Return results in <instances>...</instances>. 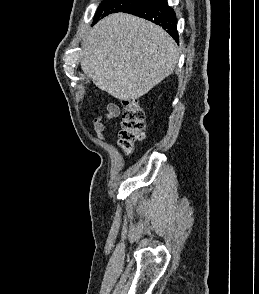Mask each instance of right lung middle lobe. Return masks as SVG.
I'll return each mask as SVG.
<instances>
[{
  "label": "right lung middle lobe",
  "mask_w": 259,
  "mask_h": 294,
  "mask_svg": "<svg viewBox=\"0 0 259 294\" xmlns=\"http://www.w3.org/2000/svg\"><path fill=\"white\" fill-rule=\"evenodd\" d=\"M140 0H104L98 7L94 22L115 12H121Z\"/></svg>",
  "instance_id": "obj_1"
}]
</instances>
